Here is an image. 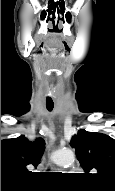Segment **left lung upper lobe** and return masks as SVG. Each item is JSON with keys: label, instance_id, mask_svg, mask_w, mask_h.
<instances>
[{"label": "left lung upper lobe", "instance_id": "left-lung-upper-lobe-1", "mask_svg": "<svg viewBox=\"0 0 115 191\" xmlns=\"http://www.w3.org/2000/svg\"><path fill=\"white\" fill-rule=\"evenodd\" d=\"M84 175L106 191H115V140L108 135L79 130L70 143Z\"/></svg>", "mask_w": 115, "mask_h": 191}]
</instances>
